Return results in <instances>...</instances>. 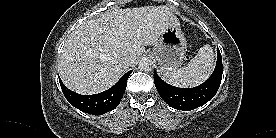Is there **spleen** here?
Masks as SVG:
<instances>
[{
    "mask_svg": "<svg viewBox=\"0 0 276 138\" xmlns=\"http://www.w3.org/2000/svg\"><path fill=\"white\" fill-rule=\"evenodd\" d=\"M214 53L210 45L201 47L189 63L178 70L164 72V79L171 85L191 88L203 83L213 69Z\"/></svg>",
    "mask_w": 276,
    "mask_h": 138,
    "instance_id": "3e777b00",
    "label": "spleen"
}]
</instances>
